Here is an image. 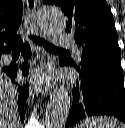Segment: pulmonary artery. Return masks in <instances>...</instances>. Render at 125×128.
I'll use <instances>...</instances> for the list:
<instances>
[{"mask_svg": "<svg viewBox=\"0 0 125 128\" xmlns=\"http://www.w3.org/2000/svg\"><path fill=\"white\" fill-rule=\"evenodd\" d=\"M55 43L58 47H61V48H69V47L75 46L74 39L68 34L57 35L55 37ZM9 60H10L9 58H6V61H9Z\"/></svg>", "mask_w": 125, "mask_h": 128, "instance_id": "obj_1", "label": "pulmonary artery"}]
</instances>
